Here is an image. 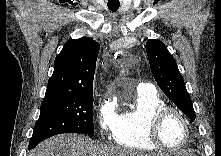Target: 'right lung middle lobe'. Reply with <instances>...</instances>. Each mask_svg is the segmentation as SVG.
<instances>
[{"mask_svg":"<svg viewBox=\"0 0 221 156\" xmlns=\"http://www.w3.org/2000/svg\"><path fill=\"white\" fill-rule=\"evenodd\" d=\"M93 91L44 99L29 148L44 139L61 133L93 134Z\"/></svg>","mask_w":221,"mask_h":156,"instance_id":"dd1d6c3e","label":"right lung middle lobe"}]
</instances>
